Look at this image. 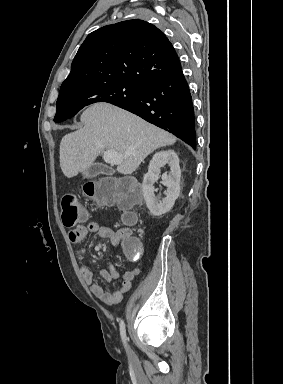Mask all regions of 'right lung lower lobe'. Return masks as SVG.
I'll return each instance as SVG.
<instances>
[{
	"mask_svg": "<svg viewBox=\"0 0 283 384\" xmlns=\"http://www.w3.org/2000/svg\"><path fill=\"white\" fill-rule=\"evenodd\" d=\"M114 105L172 133L196 149L194 107L182 70L142 86L137 98Z\"/></svg>",
	"mask_w": 283,
	"mask_h": 384,
	"instance_id": "right-lung-lower-lobe-1",
	"label": "right lung lower lobe"
}]
</instances>
